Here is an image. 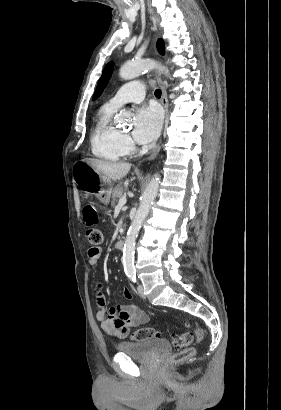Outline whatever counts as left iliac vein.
<instances>
[{"label": "left iliac vein", "mask_w": 281, "mask_h": 410, "mask_svg": "<svg viewBox=\"0 0 281 410\" xmlns=\"http://www.w3.org/2000/svg\"><path fill=\"white\" fill-rule=\"evenodd\" d=\"M137 291H138V294H139L140 297L145 298L144 289H143L142 284H138Z\"/></svg>", "instance_id": "left-iliac-vein-1"}]
</instances>
